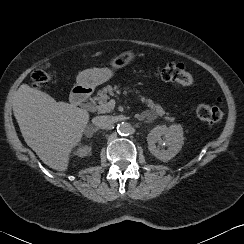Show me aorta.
<instances>
[{"label": "aorta", "mask_w": 244, "mask_h": 244, "mask_svg": "<svg viewBox=\"0 0 244 244\" xmlns=\"http://www.w3.org/2000/svg\"><path fill=\"white\" fill-rule=\"evenodd\" d=\"M132 126L131 124L127 123V122H122L120 124L117 125V132L120 135H129L132 132Z\"/></svg>", "instance_id": "762f6f07"}]
</instances>
